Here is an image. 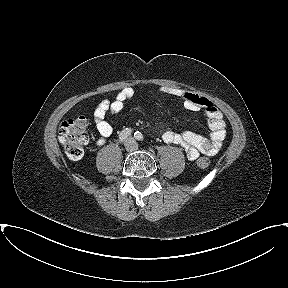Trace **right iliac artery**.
Instances as JSON below:
<instances>
[{
  "mask_svg": "<svg viewBox=\"0 0 288 288\" xmlns=\"http://www.w3.org/2000/svg\"><path fill=\"white\" fill-rule=\"evenodd\" d=\"M132 133V130L130 128H126L121 131L119 135V141L124 142Z\"/></svg>",
  "mask_w": 288,
  "mask_h": 288,
  "instance_id": "right-iliac-artery-1",
  "label": "right iliac artery"
}]
</instances>
